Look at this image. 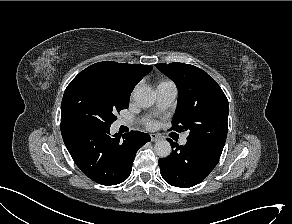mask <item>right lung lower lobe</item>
<instances>
[{"mask_svg":"<svg viewBox=\"0 0 292 224\" xmlns=\"http://www.w3.org/2000/svg\"><path fill=\"white\" fill-rule=\"evenodd\" d=\"M61 133L79 169L96 183L117 185L131 174L138 149L150 141L147 133L131 131L110 135V129H97L78 122L61 124Z\"/></svg>","mask_w":292,"mask_h":224,"instance_id":"1","label":"right lung lower lobe"}]
</instances>
